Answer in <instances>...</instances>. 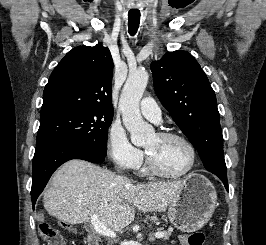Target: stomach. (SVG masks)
Returning <instances> with one entry per match:
<instances>
[{
    "label": "stomach",
    "mask_w": 266,
    "mask_h": 245,
    "mask_svg": "<svg viewBox=\"0 0 266 245\" xmlns=\"http://www.w3.org/2000/svg\"><path fill=\"white\" fill-rule=\"evenodd\" d=\"M183 183V189L167 205V217L179 231L194 233L210 221L217 207V193L209 179L199 173H189Z\"/></svg>",
    "instance_id": "1"
}]
</instances>
